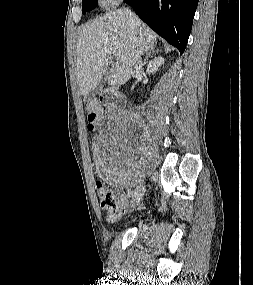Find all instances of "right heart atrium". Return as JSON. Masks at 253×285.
<instances>
[{
  "label": "right heart atrium",
  "mask_w": 253,
  "mask_h": 285,
  "mask_svg": "<svg viewBox=\"0 0 253 285\" xmlns=\"http://www.w3.org/2000/svg\"><path fill=\"white\" fill-rule=\"evenodd\" d=\"M120 0H102V3L106 6H114L116 5Z\"/></svg>",
  "instance_id": "obj_1"
}]
</instances>
